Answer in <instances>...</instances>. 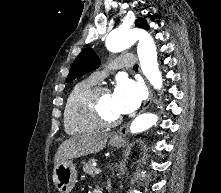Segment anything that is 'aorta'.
<instances>
[{"label":"aorta","instance_id":"1","mask_svg":"<svg viewBox=\"0 0 221 193\" xmlns=\"http://www.w3.org/2000/svg\"><path fill=\"white\" fill-rule=\"evenodd\" d=\"M138 41L137 53L143 74L155 89L162 87V76L157 63V51L153 38L140 29L118 28L109 33L107 49L120 52ZM158 120L157 115L145 113L137 116L130 125L131 133H139L151 128Z\"/></svg>","mask_w":221,"mask_h":193}]
</instances>
